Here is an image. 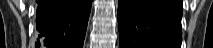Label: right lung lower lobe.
<instances>
[{
	"label": "right lung lower lobe",
	"instance_id": "obj_1",
	"mask_svg": "<svg viewBox=\"0 0 213 48\" xmlns=\"http://www.w3.org/2000/svg\"><path fill=\"white\" fill-rule=\"evenodd\" d=\"M36 46L82 48L92 0H37Z\"/></svg>",
	"mask_w": 213,
	"mask_h": 48
}]
</instances>
